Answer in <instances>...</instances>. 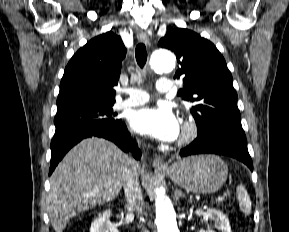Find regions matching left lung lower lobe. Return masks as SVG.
<instances>
[{
  "instance_id": "1",
  "label": "left lung lower lobe",
  "mask_w": 289,
  "mask_h": 232,
  "mask_svg": "<svg viewBox=\"0 0 289 232\" xmlns=\"http://www.w3.org/2000/svg\"><path fill=\"white\" fill-rule=\"evenodd\" d=\"M220 154L233 157L253 170L251 157L247 149L245 133L240 127H223L212 130L197 138L180 151V155Z\"/></svg>"
}]
</instances>
